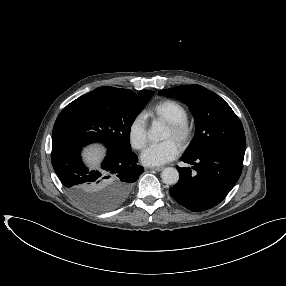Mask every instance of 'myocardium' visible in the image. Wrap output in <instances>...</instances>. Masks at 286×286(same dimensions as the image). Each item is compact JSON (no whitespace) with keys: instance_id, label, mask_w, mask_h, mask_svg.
<instances>
[{"instance_id":"f54148a6","label":"myocardium","mask_w":286,"mask_h":286,"mask_svg":"<svg viewBox=\"0 0 286 286\" xmlns=\"http://www.w3.org/2000/svg\"><path fill=\"white\" fill-rule=\"evenodd\" d=\"M168 127L173 131L175 140L182 147L189 145L194 136V128L188 121L169 122Z\"/></svg>"}]
</instances>
